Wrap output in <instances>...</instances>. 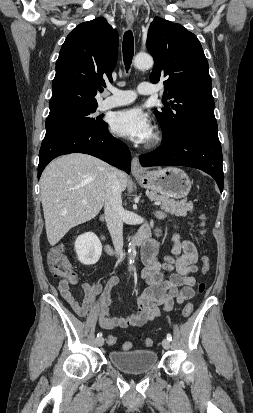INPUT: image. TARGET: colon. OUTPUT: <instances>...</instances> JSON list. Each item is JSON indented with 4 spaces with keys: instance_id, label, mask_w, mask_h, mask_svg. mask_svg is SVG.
<instances>
[{
    "instance_id": "colon-1",
    "label": "colon",
    "mask_w": 253,
    "mask_h": 413,
    "mask_svg": "<svg viewBox=\"0 0 253 413\" xmlns=\"http://www.w3.org/2000/svg\"><path fill=\"white\" fill-rule=\"evenodd\" d=\"M201 220V232H204V220L205 216L201 215L200 216ZM48 264L51 272L54 274L55 277L62 278V279H69L71 278L75 273L72 269V266L64 252V248L62 246H57L53 248L49 254H48ZM210 269V259L208 256L204 255L202 257V273L205 275L208 273ZM198 292L203 293L205 290V283L200 282L197 286ZM193 304L188 303L182 311V315L185 318L190 317V315L193 312ZM108 343L109 344H116L117 343V338L113 335H110L108 337ZM145 345L147 347H151L153 345V339L152 338H146L145 339ZM122 347L124 350H129L131 348V343L130 342H124L122 344Z\"/></svg>"
}]
</instances>
